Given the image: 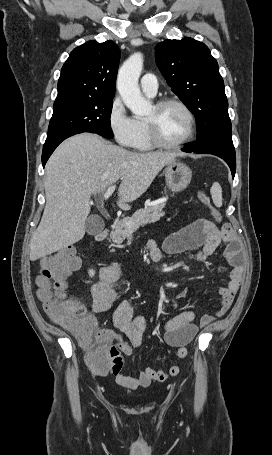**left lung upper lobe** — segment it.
Masks as SVG:
<instances>
[{"instance_id": "obj_1", "label": "left lung upper lobe", "mask_w": 272, "mask_h": 455, "mask_svg": "<svg viewBox=\"0 0 272 455\" xmlns=\"http://www.w3.org/2000/svg\"><path fill=\"white\" fill-rule=\"evenodd\" d=\"M155 56L172 91L195 115L197 139L231 127L224 82L204 43L190 37L165 40L157 44Z\"/></svg>"}]
</instances>
